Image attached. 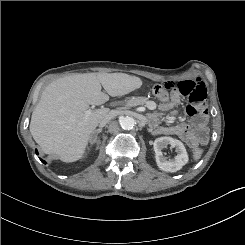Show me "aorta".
<instances>
[{
  "instance_id": "aorta-1",
  "label": "aorta",
  "mask_w": 245,
  "mask_h": 245,
  "mask_svg": "<svg viewBox=\"0 0 245 245\" xmlns=\"http://www.w3.org/2000/svg\"><path fill=\"white\" fill-rule=\"evenodd\" d=\"M119 123H120V126L125 129V130H131L135 124H136V121L133 117H130V116H126V117H122L120 120H119Z\"/></svg>"
}]
</instances>
